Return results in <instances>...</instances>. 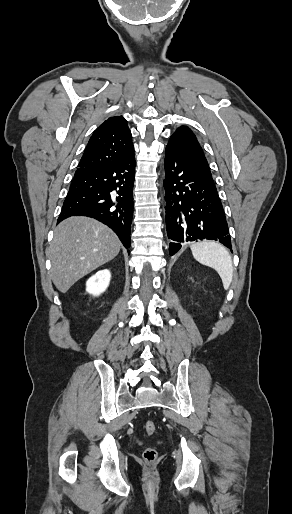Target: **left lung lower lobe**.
Segmentation results:
<instances>
[{
	"instance_id": "left-lung-lower-lobe-1",
	"label": "left lung lower lobe",
	"mask_w": 292,
	"mask_h": 514,
	"mask_svg": "<svg viewBox=\"0 0 292 514\" xmlns=\"http://www.w3.org/2000/svg\"><path fill=\"white\" fill-rule=\"evenodd\" d=\"M166 227L170 255L182 244L215 240L232 248L221 200L212 176L197 168L177 147L165 149Z\"/></svg>"
}]
</instances>
